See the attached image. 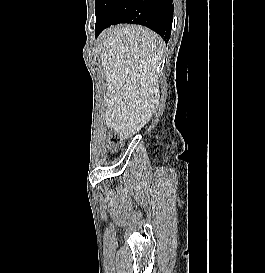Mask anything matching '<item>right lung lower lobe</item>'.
<instances>
[{
	"label": "right lung lower lobe",
	"mask_w": 265,
	"mask_h": 273,
	"mask_svg": "<svg viewBox=\"0 0 265 273\" xmlns=\"http://www.w3.org/2000/svg\"><path fill=\"white\" fill-rule=\"evenodd\" d=\"M172 0H113L102 22L96 26V37L117 23L144 25L158 33L165 42L171 34Z\"/></svg>",
	"instance_id": "98d812e1"
}]
</instances>
